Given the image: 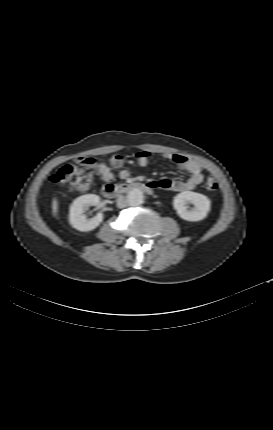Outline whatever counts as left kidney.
<instances>
[{
	"instance_id": "left-kidney-1",
	"label": "left kidney",
	"mask_w": 273,
	"mask_h": 430,
	"mask_svg": "<svg viewBox=\"0 0 273 430\" xmlns=\"http://www.w3.org/2000/svg\"><path fill=\"white\" fill-rule=\"evenodd\" d=\"M189 204L194 207L190 208ZM173 206L179 217L186 221L203 220L210 211V199L200 193L184 191L175 196Z\"/></svg>"
}]
</instances>
